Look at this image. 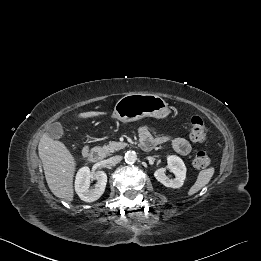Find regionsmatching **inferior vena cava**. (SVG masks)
I'll return each mask as SVG.
<instances>
[{
    "label": "inferior vena cava",
    "mask_w": 261,
    "mask_h": 261,
    "mask_svg": "<svg viewBox=\"0 0 261 261\" xmlns=\"http://www.w3.org/2000/svg\"><path fill=\"white\" fill-rule=\"evenodd\" d=\"M121 160H122V156L117 155V156L111 157V158L109 159V163L112 164V165H114V164L119 163Z\"/></svg>",
    "instance_id": "inferior-vena-cava-1"
}]
</instances>
